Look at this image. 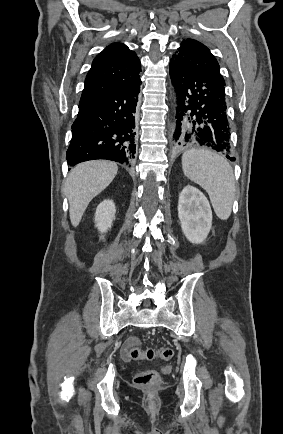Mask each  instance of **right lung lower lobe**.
Wrapping results in <instances>:
<instances>
[{
    "label": "right lung lower lobe",
    "instance_id": "obj_1",
    "mask_svg": "<svg viewBox=\"0 0 283 434\" xmlns=\"http://www.w3.org/2000/svg\"><path fill=\"white\" fill-rule=\"evenodd\" d=\"M139 92L140 79L125 89L80 102L67 150L69 165L94 159L129 163L134 158Z\"/></svg>",
    "mask_w": 283,
    "mask_h": 434
}]
</instances>
